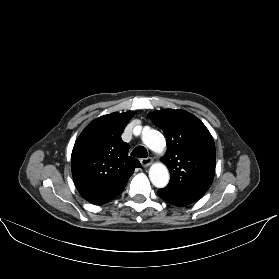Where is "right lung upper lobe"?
<instances>
[{
    "instance_id": "right-lung-upper-lobe-1",
    "label": "right lung upper lobe",
    "mask_w": 279,
    "mask_h": 279,
    "mask_svg": "<svg viewBox=\"0 0 279 279\" xmlns=\"http://www.w3.org/2000/svg\"><path fill=\"white\" fill-rule=\"evenodd\" d=\"M134 112H114L93 120L78 137L71 157L72 175L80 195L101 205L119 195L140 162L128 156L121 134Z\"/></svg>"
}]
</instances>
